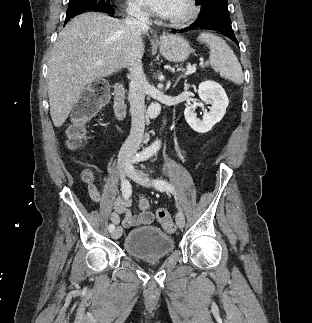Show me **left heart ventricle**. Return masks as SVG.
Masks as SVG:
<instances>
[{"instance_id": "obj_1", "label": "left heart ventricle", "mask_w": 312, "mask_h": 323, "mask_svg": "<svg viewBox=\"0 0 312 323\" xmlns=\"http://www.w3.org/2000/svg\"><path fill=\"white\" fill-rule=\"evenodd\" d=\"M170 9H175L176 14H187L188 3L185 0H172L170 2Z\"/></svg>"}]
</instances>
